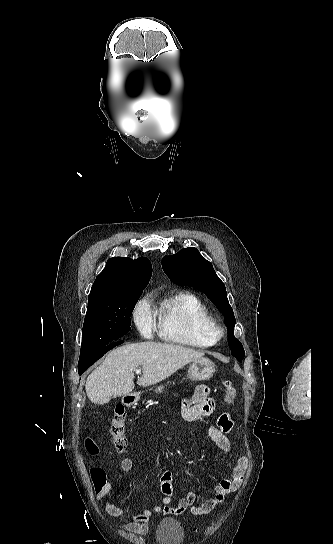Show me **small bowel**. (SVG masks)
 Here are the masks:
<instances>
[{
  "label": "small bowel",
  "mask_w": 333,
  "mask_h": 544,
  "mask_svg": "<svg viewBox=\"0 0 333 544\" xmlns=\"http://www.w3.org/2000/svg\"><path fill=\"white\" fill-rule=\"evenodd\" d=\"M210 389L207 386H198L194 395L190 399L182 402L180 407L181 416L187 420H199L210 416L216 409V402L210 396ZM233 428V420L227 413L222 414L216 426L208 429L210 440L223 452H229L231 442L228 434ZM120 468L124 473H129L133 468V461L125 457L120 462ZM247 468V459L242 456L238 459L229 477L221 480L214 488V495L204 502L197 504V496L194 491H189L181 497L176 505H173V485L172 473L164 471L160 477L161 491L163 493L161 505H156L152 509L145 508L140 514L129 517L127 511L122 507L115 505L111 501L112 486L110 483L96 491L97 500L105 499V511L115 518H129V521L123 524L124 529L129 532L144 535L148 532L151 520L154 514L162 515H181L190 511L193 515H206L216 506L223 502L226 495L235 491L243 483Z\"/></svg>",
  "instance_id": "c3829d8e"
}]
</instances>
